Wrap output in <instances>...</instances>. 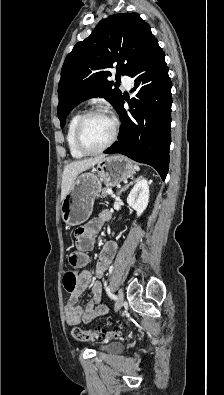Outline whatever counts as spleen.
I'll return each instance as SVG.
<instances>
[{
    "mask_svg": "<svg viewBox=\"0 0 224 395\" xmlns=\"http://www.w3.org/2000/svg\"><path fill=\"white\" fill-rule=\"evenodd\" d=\"M134 169H135L136 171H139V170H140V168H139L138 165H134Z\"/></svg>",
    "mask_w": 224,
    "mask_h": 395,
    "instance_id": "1",
    "label": "spleen"
}]
</instances>
